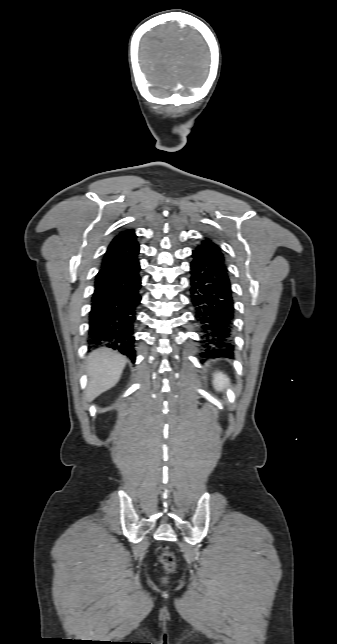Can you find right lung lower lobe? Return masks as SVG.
<instances>
[{"mask_svg": "<svg viewBox=\"0 0 337 644\" xmlns=\"http://www.w3.org/2000/svg\"><path fill=\"white\" fill-rule=\"evenodd\" d=\"M140 265L136 258L119 261L100 269L90 311L88 341L105 343L135 361L134 323L140 304Z\"/></svg>", "mask_w": 337, "mask_h": 644, "instance_id": "1", "label": "right lung lower lobe"}]
</instances>
